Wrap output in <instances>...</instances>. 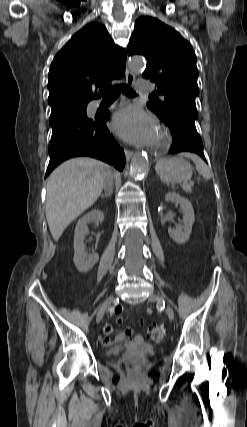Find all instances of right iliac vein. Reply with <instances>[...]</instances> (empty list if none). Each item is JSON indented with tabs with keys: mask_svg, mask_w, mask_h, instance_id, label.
Wrapping results in <instances>:
<instances>
[{
	"mask_svg": "<svg viewBox=\"0 0 247 427\" xmlns=\"http://www.w3.org/2000/svg\"><path fill=\"white\" fill-rule=\"evenodd\" d=\"M114 301V296L111 295L109 296L105 302L103 303V305L100 307L98 313H97V317H96V321L100 322L101 319L104 316V313L106 312V310L111 306L112 302Z\"/></svg>",
	"mask_w": 247,
	"mask_h": 427,
	"instance_id": "right-iliac-vein-1",
	"label": "right iliac vein"
}]
</instances>
